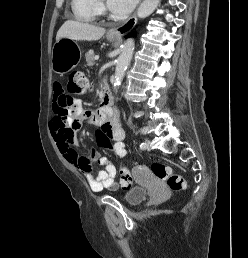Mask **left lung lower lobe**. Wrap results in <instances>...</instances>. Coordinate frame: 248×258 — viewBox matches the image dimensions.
I'll list each match as a JSON object with an SVG mask.
<instances>
[{"label":"left lung lower lobe","instance_id":"0a47b994","mask_svg":"<svg viewBox=\"0 0 248 258\" xmlns=\"http://www.w3.org/2000/svg\"><path fill=\"white\" fill-rule=\"evenodd\" d=\"M130 36H132V34H129L127 37H130Z\"/></svg>","mask_w":248,"mask_h":258}]
</instances>
